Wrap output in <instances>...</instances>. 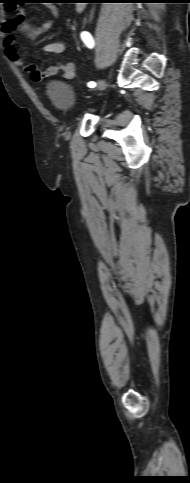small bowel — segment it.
I'll return each instance as SVG.
<instances>
[{
  "mask_svg": "<svg viewBox=\"0 0 190 483\" xmlns=\"http://www.w3.org/2000/svg\"><path fill=\"white\" fill-rule=\"evenodd\" d=\"M50 11L54 18L58 16V11L55 6H50ZM55 26L53 20L43 23L41 26H33L27 23L25 19V12L20 10L14 18L6 19L1 27L3 34V48L8 59L18 68L26 72L34 82H41L49 76L62 73V78L65 80H72L76 74V67L72 62L52 61L45 70L35 64H25L23 58L16 50V41L13 33L19 31L29 39H36L42 33H45ZM65 43L61 41H52L44 44L41 52L49 54H61L66 51Z\"/></svg>",
  "mask_w": 190,
  "mask_h": 483,
  "instance_id": "small-bowel-1",
  "label": "small bowel"
}]
</instances>
